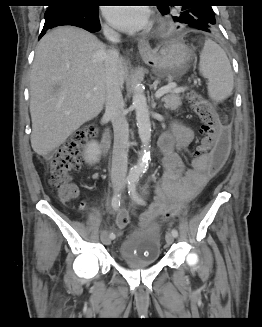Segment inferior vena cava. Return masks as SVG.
Segmentation results:
<instances>
[{"label": "inferior vena cava", "instance_id": "602c4592", "mask_svg": "<svg viewBox=\"0 0 262 327\" xmlns=\"http://www.w3.org/2000/svg\"><path fill=\"white\" fill-rule=\"evenodd\" d=\"M106 39L112 44L120 42V35L103 27ZM119 52L112 48L106 56V102L105 113L110 117L114 130V145L112 155L111 180L112 182L124 181L127 174L129 126L124 110L125 103L121 93V83L118 76Z\"/></svg>", "mask_w": 262, "mask_h": 327}]
</instances>
